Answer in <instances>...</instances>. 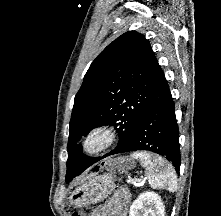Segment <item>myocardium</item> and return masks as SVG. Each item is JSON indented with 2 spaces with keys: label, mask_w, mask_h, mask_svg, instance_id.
<instances>
[{
  "label": "myocardium",
  "mask_w": 221,
  "mask_h": 216,
  "mask_svg": "<svg viewBox=\"0 0 221 216\" xmlns=\"http://www.w3.org/2000/svg\"><path fill=\"white\" fill-rule=\"evenodd\" d=\"M116 129L109 125H98L92 128L82 140L85 154L95 156L111 148L117 141Z\"/></svg>",
  "instance_id": "1"
}]
</instances>
